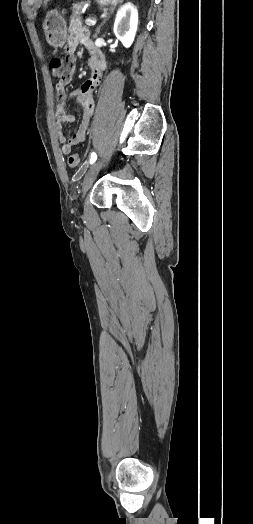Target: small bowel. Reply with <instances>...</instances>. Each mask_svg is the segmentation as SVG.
<instances>
[{
	"label": "small bowel",
	"mask_w": 253,
	"mask_h": 524,
	"mask_svg": "<svg viewBox=\"0 0 253 524\" xmlns=\"http://www.w3.org/2000/svg\"><path fill=\"white\" fill-rule=\"evenodd\" d=\"M78 46L84 47L87 52L90 77L80 87L72 90L69 94V96L75 98L80 105L82 117L77 132L70 138H66L63 134V128L75 122V117L66 111V86L70 84L73 77L77 74V58L75 52ZM65 51L68 66L67 71L61 74L60 81L56 84L57 100L55 114L61 151L67 155L75 145L84 142L88 136L89 125L96 104L94 91L101 83L103 73L106 69V60L103 54L93 45L89 30L78 20H73L70 24Z\"/></svg>",
	"instance_id": "small-bowel-1"
}]
</instances>
